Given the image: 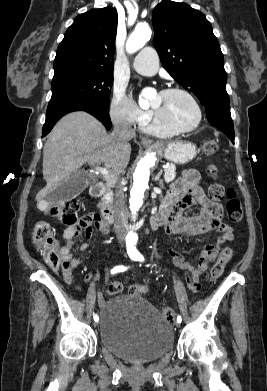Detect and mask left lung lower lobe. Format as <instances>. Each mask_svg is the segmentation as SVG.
<instances>
[{
    "mask_svg": "<svg viewBox=\"0 0 267 391\" xmlns=\"http://www.w3.org/2000/svg\"><path fill=\"white\" fill-rule=\"evenodd\" d=\"M211 126L217 127L234 143V126L229 102H216L205 106Z\"/></svg>",
    "mask_w": 267,
    "mask_h": 391,
    "instance_id": "obj_1",
    "label": "left lung lower lobe"
}]
</instances>
